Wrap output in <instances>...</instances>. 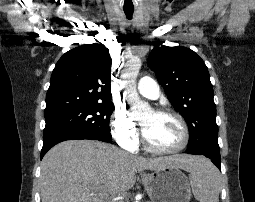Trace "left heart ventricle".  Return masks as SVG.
Segmentation results:
<instances>
[{
    "instance_id": "left-heart-ventricle-1",
    "label": "left heart ventricle",
    "mask_w": 255,
    "mask_h": 202,
    "mask_svg": "<svg viewBox=\"0 0 255 202\" xmlns=\"http://www.w3.org/2000/svg\"><path fill=\"white\" fill-rule=\"evenodd\" d=\"M146 137L151 145L160 149H170L182 141V130L178 121L166 115L148 112L140 119Z\"/></svg>"
}]
</instances>
